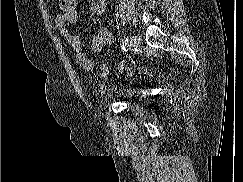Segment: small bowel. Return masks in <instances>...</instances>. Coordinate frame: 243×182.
<instances>
[{
    "label": "small bowel",
    "instance_id": "small-bowel-1",
    "mask_svg": "<svg viewBox=\"0 0 243 182\" xmlns=\"http://www.w3.org/2000/svg\"><path fill=\"white\" fill-rule=\"evenodd\" d=\"M108 0H92L90 11L95 16H101L107 7ZM61 12L55 17V24L60 35L68 42L76 54V62L86 71L94 69V61L82 50V41L76 35L72 26L78 19L77 0H59ZM112 42V35L105 27H100L97 34L92 37L91 49L94 52H101L103 48Z\"/></svg>",
    "mask_w": 243,
    "mask_h": 182
}]
</instances>
